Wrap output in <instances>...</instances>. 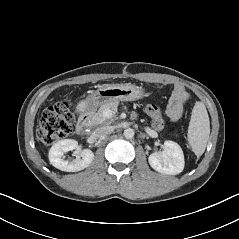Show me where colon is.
<instances>
[{
    "instance_id": "1",
    "label": "colon",
    "mask_w": 239,
    "mask_h": 239,
    "mask_svg": "<svg viewBox=\"0 0 239 239\" xmlns=\"http://www.w3.org/2000/svg\"><path fill=\"white\" fill-rule=\"evenodd\" d=\"M147 113L151 116L154 129L161 130L167 121L165 115L161 114L158 106L150 104ZM75 122V116L68 102H58L42 114L37 127V137L44 144H53L58 139L71 133Z\"/></svg>"
}]
</instances>
